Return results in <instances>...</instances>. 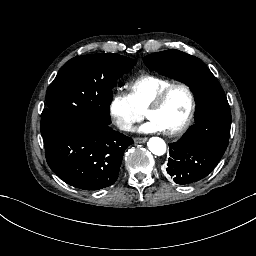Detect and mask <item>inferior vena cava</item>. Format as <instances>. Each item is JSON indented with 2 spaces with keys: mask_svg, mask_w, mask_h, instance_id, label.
<instances>
[{
  "mask_svg": "<svg viewBox=\"0 0 256 256\" xmlns=\"http://www.w3.org/2000/svg\"><path fill=\"white\" fill-rule=\"evenodd\" d=\"M117 126L119 127L120 130L130 131L132 124L130 122H126L124 120H118Z\"/></svg>",
  "mask_w": 256,
  "mask_h": 256,
  "instance_id": "inferior-vena-cava-1",
  "label": "inferior vena cava"
}]
</instances>
